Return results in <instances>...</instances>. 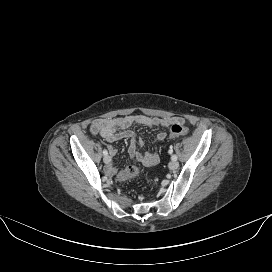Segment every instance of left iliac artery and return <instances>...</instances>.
I'll list each match as a JSON object with an SVG mask.
<instances>
[{
  "mask_svg": "<svg viewBox=\"0 0 272 272\" xmlns=\"http://www.w3.org/2000/svg\"><path fill=\"white\" fill-rule=\"evenodd\" d=\"M172 152H173V150H172V148H170L169 153H172ZM171 159H172L173 161H176V160H177V156H176V155H172V156H171Z\"/></svg>",
  "mask_w": 272,
  "mask_h": 272,
  "instance_id": "1",
  "label": "left iliac artery"
}]
</instances>
